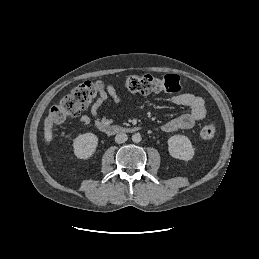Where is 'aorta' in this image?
Instances as JSON below:
<instances>
[{"instance_id": "762f6f07", "label": "aorta", "mask_w": 259, "mask_h": 259, "mask_svg": "<svg viewBox=\"0 0 259 259\" xmlns=\"http://www.w3.org/2000/svg\"><path fill=\"white\" fill-rule=\"evenodd\" d=\"M142 137L139 133H135L134 135H132V141L134 143H139L141 141Z\"/></svg>"}]
</instances>
